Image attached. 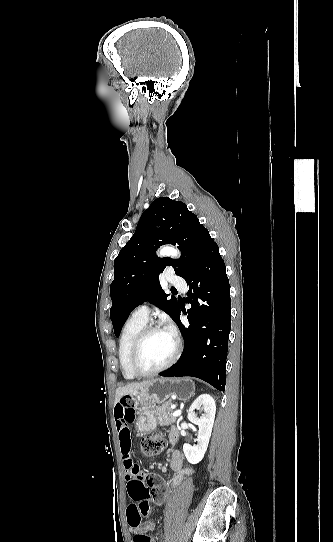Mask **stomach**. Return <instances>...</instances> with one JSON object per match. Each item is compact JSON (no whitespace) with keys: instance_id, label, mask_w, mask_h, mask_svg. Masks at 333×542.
I'll return each instance as SVG.
<instances>
[{"instance_id":"0dacf381","label":"stomach","mask_w":333,"mask_h":542,"mask_svg":"<svg viewBox=\"0 0 333 542\" xmlns=\"http://www.w3.org/2000/svg\"><path fill=\"white\" fill-rule=\"evenodd\" d=\"M194 392L195 384L190 378H155L143 390H139L136 394H129V397H120L119 400H133L138 410L136 438L142 439L157 426L153 404H163L171 396H176L177 400L185 402L193 398Z\"/></svg>"}]
</instances>
